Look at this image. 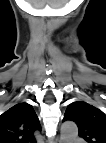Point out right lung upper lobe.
Wrapping results in <instances>:
<instances>
[{
    "instance_id": "cb5924a9",
    "label": "right lung upper lobe",
    "mask_w": 106,
    "mask_h": 143,
    "mask_svg": "<svg viewBox=\"0 0 106 143\" xmlns=\"http://www.w3.org/2000/svg\"><path fill=\"white\" fill-rule=\"evenodd\" d=\"M35 131L41 126L30 104H16L0 115V143L34 142Z\"/></svg>"
}]
</instances>
